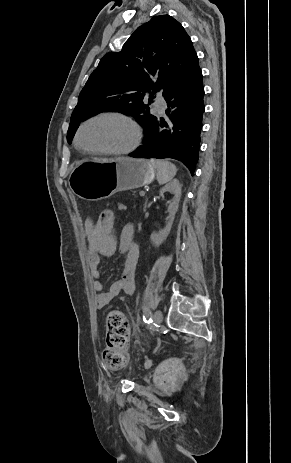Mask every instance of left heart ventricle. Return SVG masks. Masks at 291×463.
Listing matches in <instances>:
<instances>
[{
	"instance_id": "obj_1",
	"label": "left heart ventricle",
	"mask_w": 291,
	"mask_h": 463,
	"mask_svg": "<svg viewBox=\"0 0 291 463\" xmlns=\"http://www.w3.org/2000/svg\"><path fill=\"white\" fill-rule=\"evenodd\" d=\"M133 137L131 127L119 119L96 120L81 132L80 144L86 148H123Z\"/></svg>"
}]
</instances>
